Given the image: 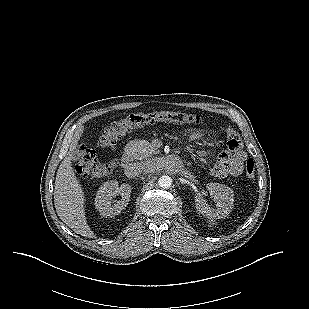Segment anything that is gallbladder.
Returning <instances> with one entry per match:
<instances>
[{
	"label": "gallbladder",
	"instance_id": "bac80fb5",
	"mask_svg": "<svg viewBox=\"0 0 309 309\" xmlns=\"http://www.w3.org/2000/svg\"><path fill=\"white\" fill-rule=\"evenodd\" d=\"M79 157H80V152L77 150V149H75V150H73L72 152H71V159L72 160H78L79 159Z\"/></svg>",
	"mask_w": 309,
	"mask_h": 309
}]
</instances>
